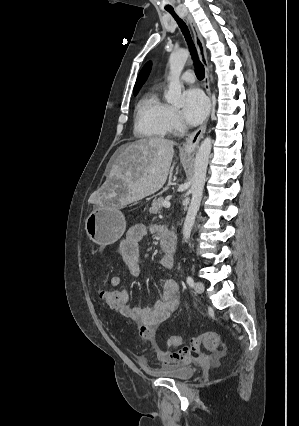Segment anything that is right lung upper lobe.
Instances as JSON below:
<instances>
[{"label": "right lung upper lobe", "mask_w": 299, "mask_h": 426, "mask_svg": "<svg viewBox=\"0 0 299 426\" xmlns=\"http://www.w3.org/2000/svg\"><path fill=\"white\" fill-rule=\"evenodd\" d=\"M151 70V62H148L140 71L137 81L135 83L134 92L139 91L145 80L147 79L149 72Z\"/></svg>", "instance_id": "obj_1"}]
</instances>
